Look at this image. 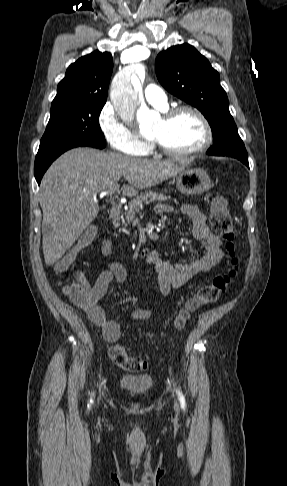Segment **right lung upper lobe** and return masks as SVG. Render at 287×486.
Listing matches in <instances>:
<instances>
[{
  "mask_svg": "<svg viewBox=\"0 0 287 486\" xmlns=\"http://www.w3.org/2000/svg\"><path fill=\"white\" fill-rule=\"evenodd\" d=\"M112 70L113 59L108 52L94 51L79 58L68 67L58 84L52 106L82 101L106 102Z\"/></svg>",
  "mask_w": 287,
  "mask_h": 486,
  "instance_id": "cb5924a9",
  "label": "right lung upper lobe"
}]
</instances>
